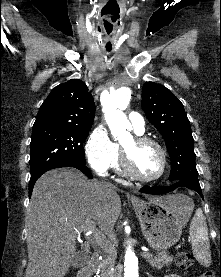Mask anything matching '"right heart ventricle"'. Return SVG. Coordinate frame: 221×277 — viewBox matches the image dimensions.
Listing matches in <instances>:
<instances>
[{
	"label": "right heart ventricle",
	"mask_w": 221,
	"mask_h": 277,
	"mask_svg": "<svg viewBox=\"0 0 221 277\" xmlns=\"http://www.w3.org/2000/svg\"><path fill=\"white\" fill-rule=\"evenodd\" d=\"M140 134V133H138ZM116 158L114 161L113 166L115 167L116 171L119 173H123L122 167H121V161H120V148L119 146L116 144Z\"/></svg>",
	"instance_id": "obj_1"
}]
</instances>
